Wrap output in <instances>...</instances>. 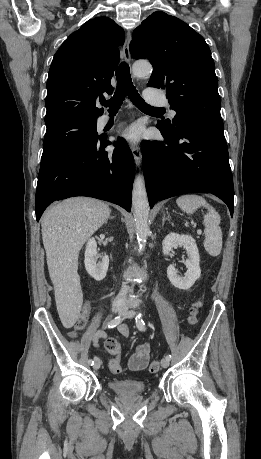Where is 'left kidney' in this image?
I'll list each match as a JSON object with an SVG mask.
<instances>
[{
  "label": "left kidney",
  "instance_id": "5707ae66",
  "mask_svg": "<svg viewBox=\"0 0 261 459\" xmlns=\"http://www.w3.org/2000/svg\"><path fill=\"white\" fill-rule=\"evenodd\" d=\"M178 246L184 247L187 251L188 258L185 261L187 271L184 276H180L177 269L173 265H169L167 268V277L174 287L188 290L201 275L199 252L192 236L170 233L162 242L163 254L169 255L173 248H177Z\"/></svg>",
  "mask_w": 261,
  "mask_h": 459
}]
</instances>
